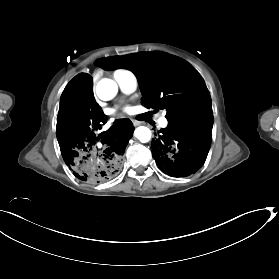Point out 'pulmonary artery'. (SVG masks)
<instances>
[{
    "mask_svg": "<svg viewBox=\"0 0 279 279\" xmlns=\"http://www.w3.org/2000/svg\"><path fill=\"white\" fill-rule=\"evenodd\" d=\"M113 78L123 94L129 95L136 90L137 80L133 74L117 70L113 73ZM158 125H160V123Z\"/></svg>",
    "mask_w": 279,
    "mask_h": 279,
    "instance_id": "pulmonary-artery-1",
    "label": "pulmonary artery"
}]
</instances>
